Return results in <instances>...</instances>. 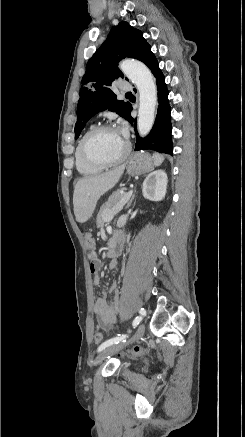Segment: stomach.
<instances>
[{"mask_svg":"<svg viewBox=\"0 0 245 437\" xmlns=\"http://www.w3.org/2000/svg\"><path fill=\"white\" fill-rule=\"evenodd\" d=\"M153 168V157L148 153H135L127 163V173L138 176L149 172Z\"/></svg>","mask_w":245,"mask_h":437,"instance_id":"1","label":"stomach"}]
</instances>
